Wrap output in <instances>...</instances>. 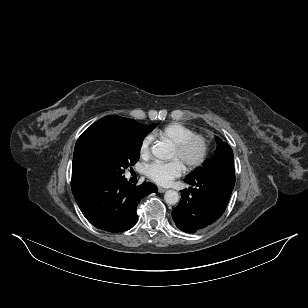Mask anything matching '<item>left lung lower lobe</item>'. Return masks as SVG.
<instances>
[{
    "instance_id": "1",
    "label": "left lung lower lobe",
    "mask_w": 308,
    "mask_h": 308,
    "mask_svg": "<svg viewBox=\"0 0 308 308\" xmlns=\"http://www.w3.org/2000/svg\"><path fill=\"white\" fill-rule=\"evenodd\" d=\"M195 188L181 191L182 199L172 211L176 226L195 233L215 222L225 211L235 185L234 163L220 162L187 177Z\"/></svg>"
}]
</instances>
